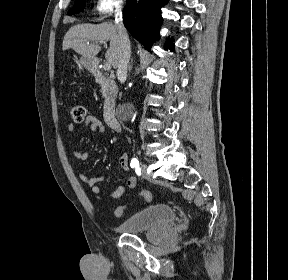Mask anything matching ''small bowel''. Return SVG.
I'll return each instance as SVG.
<instances>
[{
	"instance_id": "small-bowel-1",
	"label": "small bowel",
	"mask_w": 288,
	"mask_h": 280,
	"mask_svg": "<svg viewBox=\"0 0 288 280\" xmlns=\"http://www.w3.org/2000/svg\"><path fill=\"white\" fill-rule=\"evenodd\" d=\"M85 127L89 128L92 132L95 133H101L104 131V125L102 121L94 116V115H88L85 118L84 121ZM68 130L70 133L74 132V125L69 124ZM73 156L78 159L79 161L85 162L89 158L88 152H81V151H73ZM118 162L121 166V168L124 171H129V158L128 155L124 152L120 153L118 156ZM80 180L85 183L91 190V193L95 196H107L111 199H118L125 193V187L123 185L117 186L112 192L106 193L104 190L100 187V183L104 180L103 176H96V177H90L86 175L85 173H81L79 175ZM117 178H120V176H117ZM126 186L130 189H134L137 185V180L134 176H129L125 180Z\"/></svg>"
}]
</instances>
